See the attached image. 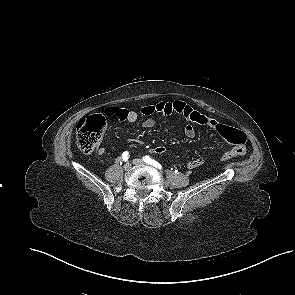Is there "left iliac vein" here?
<instances>
[{"mask_svg":"<svg viewBox=\"0 0 295 295\" xmlns=\"http://www.w3.org/2000/svg\"><path fill=\"white\" fill-rule=\"evenodd\" d=\"M133 164L134 165H144L145 163H144V161L143 160H141V159H134L133 160Z\"/></svg>","mask_w":295,"mask_h":295,"instance_id":"left-iliac-vein-1","label":"left iliac vein"}]
</instances>
